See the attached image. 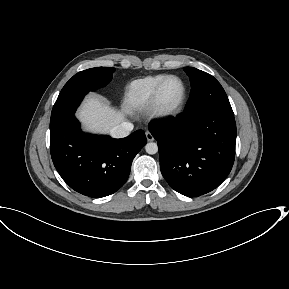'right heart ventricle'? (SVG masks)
Wrapping results in <instances>:
<instances>
[{
	"label": "right heart ventricle",
	"mask_w": 289,
	"mask_h": 289,
	"mask_svg": "<svg viewBox=\"0 0 289 289\" xmlns=\"http://www.w3.org/2000/svg\"><path fill=\"white\" fill-rule=\"evenodd\" d=\"M167 75H150L132 81L124 94V105L130 111H142L149 107L158 83Z\"/></svg>",
	"instance_id": "e07e8e85"
}]
</instances>
